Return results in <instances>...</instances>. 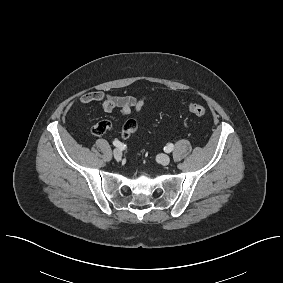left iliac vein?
<instances>
[{
    "label": "left iliac vein",
    "mask_w": 283,
    "mask_h": 283,
    "mask_svg": "<svg viewBox=\"0 0 283 283\" xmlns=\"http://www.w3.org/2000/svg\"><path fill=\"white\" fill-rule=\"evenodd\" d=\"M157 161L158 163H160L161 165H168L170 162V157L167 154H161L157 157Z\"/></svg>",
    "instance_id": "4c4485c4"
}]
</instances>
